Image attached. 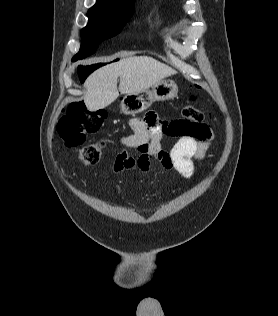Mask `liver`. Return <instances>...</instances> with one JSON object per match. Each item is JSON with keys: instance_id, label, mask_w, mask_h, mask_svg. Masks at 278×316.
I'll return each instance as SVG.
<instances>
[{"instance_id": "1", "label": "liver", "mask_w": 278, "mask_h": 316, "mask_svg": "<svg viewBox=\"0 0 278 316\" xmlns=\"http://www.w3.org/2000/svg\"><path fill=\"white\" fill-rule=\"evenodd\" d=\"M174 74V69L151 57H128L99 68L86 79L84 102L90 111L103 109L118 98L119 92L139 93Z\"/></svg>"}]
</instances>
